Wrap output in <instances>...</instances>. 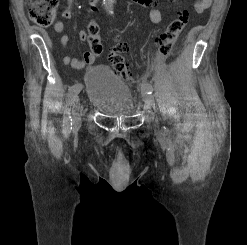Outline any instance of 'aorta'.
Wrapping results in <instances>:
<instances>
[{
	"label": "aorta",
	"instance_id": "762f6f07",
	"mask_svg": "<svg viewBox=\"0 0 247 245\" xmlns=\"http://www.w3.org/2000/svg\"><path fill=\"white\" fill-rule=\"evenodd\" d=\"M104 2V5L106 7V10L109 12V13H113V3H114V0H103Z\"/></svg>",
	"mask_w": 247,
	"mask_h": 245
}]
</instances>
